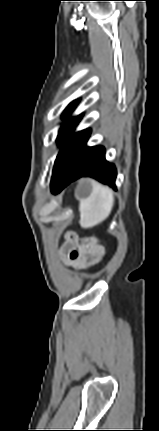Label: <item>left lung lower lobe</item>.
I'll use <instances>...</instances> for the list:
<instances>
[{"label":"left lung lower lobe","mask_w":159,"mask_h":431,"mask_svg":"<svg viewBox=\"0 0 159 431\" xmlns=\"http://www.w3.org/2000/svg\"><path fill=\"white\" fill-rule=\"evenodd\" d=\"M90 129L84 130L69 149L57 176L51 181V191L59 193L72 181L90 176L115 187L116 169L105 159L102 146L87 147Z\"/></svg>","instance_id":"1"}]
</instances>
